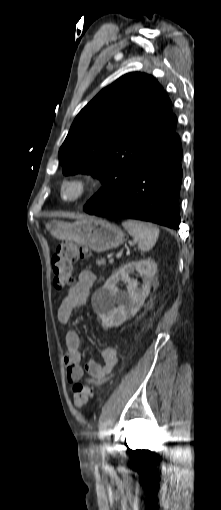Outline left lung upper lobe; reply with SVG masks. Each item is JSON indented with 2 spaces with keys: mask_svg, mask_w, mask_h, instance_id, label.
I'll list each match as a JSON object with an SVG mask.
<instances>
[{
  "mask_svg": "<svg viewBox=\"0 0 221 510\" xmlns=\"http://www.w3.org/2000/svg\"><path fill=\"white\" fill-rule=\"evenodd\" d=\"M171 101L154 77L129 73L101 90L76 116L59 150L66 175L92 174L103 186L88 201L111 202L155 150L174 141Z\"/></svg>",
  "mask_w": 221,
  "mask_h": 510,
  "instance_id": "1",
  "label": "left lung upper lobe"
}]
</instances>
